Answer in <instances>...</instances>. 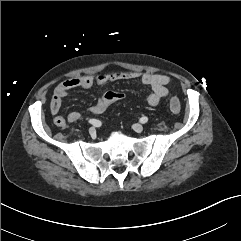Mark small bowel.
Returning a JSON list of instances; mask_svg holds the SVG:
<instances>
[{
    "label": "small bowel",
    "mask_w": 241,
    "mask_h": 241,
    "mask_svg": "<svg viewBox=\"0 0 241 241\" xmlns=\"http://www.w3.org/2000/svg\"><path fill=\"white\" fill-rule=\"evenodd\" d=\"M133 79H140L143 85L151 88V93L147 96V103L150 106H157L169 93L168 85L170 84L171 79L167 75L163 74L143 73L139 71H121L104 73L98 76L81 75L72 77L61 82L54 90L50 103V111L52 115H54V124L58 127H64L67 123H75L81 119V114L79 112H71L66 118L60 114L62 100L72 89H91L95 85L103 87L110 82ZM112 102L114 101H107L102 96L90 107L89 110L94 115H100Z\"/></svg>",
    "instance_id": "c3829d8e"
}]
</instances>
